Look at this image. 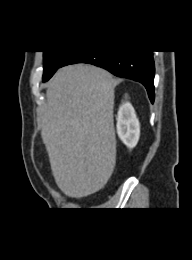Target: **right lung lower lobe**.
I'll use <instances>...</instances> for the list:
<instances>
[{
  "label": "right lung lower lobe",
  "instance_id": "98d812e1",
  "mask_svg": "<svg viewBox=\"0 0 192 260\" xmlns=\"http://www.w3.org/2000/svg\"><path fill=\"white\" fill-rule=\"evenodd\" d=\"M89 63L102 67L118 77L142 83L154 102V60L152 51H84L71 53L62 66Z\"/></svg>",
  "mask_w": 192,
  "mask_h": 260
}]
</instances>
